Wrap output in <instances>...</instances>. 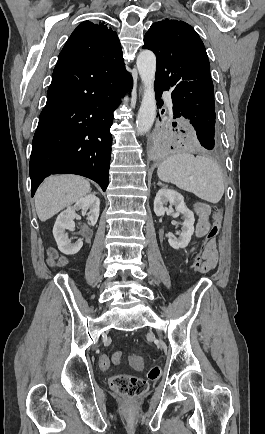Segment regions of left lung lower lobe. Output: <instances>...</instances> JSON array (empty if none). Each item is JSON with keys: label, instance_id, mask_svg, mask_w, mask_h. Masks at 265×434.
Returning <instances> with one entry per match:
<instances>
[{"label": "left lung lower lobe", "instance_id": "1", "mask_svg": "<svg viewBox=\"0 0 265 434\" xmlns=\"http://www.w3.org/2000/svg\"><path fill=\"white\" fill-rule=\"evenodd\" d=\"M163 90V88L155 85L156 99L159 104H162L160 97ZM173 118H184L181 111L176 106H173ZM194 128L201 152L218 153L221 150V143L215 126H199ZM156 146L158 150L163 153H169L171 150L179 151L180 149L175 143L168 139L158 140Z\"/></svg>", "mask_w": 265, "mask_h": 434}]
</instances>
